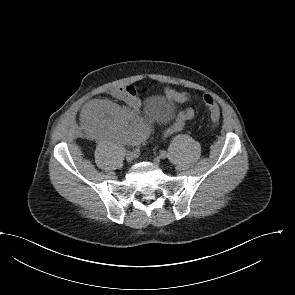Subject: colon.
Instances as JSON below:
<instances>
[{"label":"colon","mask_w":295,"mask_h":295,"mask_svg":"<svg viewBox=\"0 0 295 295\" xmlns=\"http://www.w3.org/2000/svg\"><path fill=\"white\" fill-rule=\"evenodd\" d=\"M203 102L210 112L211 120L217 123L220 119V108L218 104L215 102L214 98L208 94L203 96Z\"/></svg>","instance_id":"1"}]
</instances>
